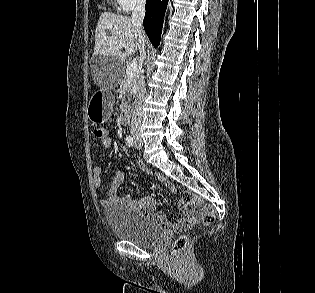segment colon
Here are the masks:
<instances>
[{
	"mask_svg": "<svg viewBox=\"0 0 315 293\" xmlns=\"http://www.w3.org/2000/svg\"><path fill=\"white\" fill-rule=\"evenodd\" d=\"M93 134L98 139H104L107 136V131L102 126H96L93 129ZM181 201L187 205H196L201 207L203 213V223L210 224L215 220V210L213 206L205 204L201 205L198 198L191 192H184ZM188 243V237L186 235H180L172 244L173 255L180 254Z\"/></svg>",
	"mask_w": 315,
	"mask_h": 293,
	"instance_id": "5ec220e1",
	"label": "colon"
}]
</instances>
